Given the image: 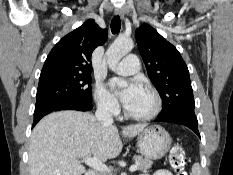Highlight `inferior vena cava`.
<instances>
[{"instance_id":"602c4592","label":"inferior vena cava","mask_w":233,"mask_h":175,"mask_svg":"<svg viewBox=\"0 0 233 175\" xmlns=\"http://www.w3.org/2000/svg\"><path fill=\"white\" fill-rule=\"evenodd\" d=\"M97 120L103 124L111 125L113 117L110 113V105L108 102H100L95 112Z\"/></svg>"}]
</instances>
